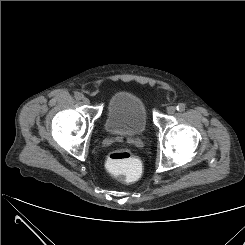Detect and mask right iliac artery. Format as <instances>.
Wrapping results in <instances>:
<instances>
[{"label": "right iliac artery", "instance_id": "82829eb1", "mask_svg": "<svg viewBox=\"0 0 245 245\" xmlns=\"http://www.w3.org/2000/svg\"><path fill=\"white\" fill-rule=\"evenodd\" d=\"M75 98H76V100H81L83 98V95L78 92L75 94Z\"/></svg>", "mask_w": 245, "mask_h": 245}]
</instances>
